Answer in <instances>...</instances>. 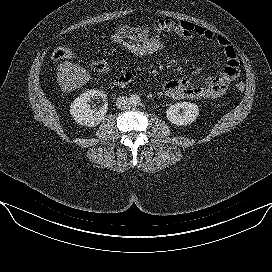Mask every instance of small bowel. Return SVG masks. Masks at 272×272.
I'll list each match as a JSON object with an SVG mask.
<instances>
[{"instance_id":"obj_1","label":"small bowel","mask_w":272,"mask_h":272,"mask_svg":"<svg viewBox=\"0 0 272 272\" xmlns=\"http://www.w3.org/2000/svg\"><path fill=\"white\" fill-rule=\"evenodd\" d=\"M114 32L142 39L159 38L163 33H171L185 41L190 40L193 36H199L221 48L226 65L217 75L205 77L202 70L198 68L195 70L193 78L171 79L161 84L163 92L172 99H218L226 93L229 84L239 76V62L234 47L225 37L202 25L189 21L165 19L155 22L152 29L146 25H122L117 27ZM125 76L133 79L134 73L128 72Z\"/></svg>"}]
</instances>
